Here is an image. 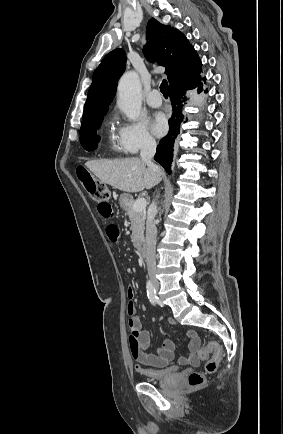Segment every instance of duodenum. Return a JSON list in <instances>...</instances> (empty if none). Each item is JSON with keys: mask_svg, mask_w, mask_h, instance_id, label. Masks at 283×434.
Listing matches in <instances>:
<instances>
[{"mask_svg": "<svg viewBox=\"0 0 283 434\" xmlns=\"http://www.w3.org/2000/svg\"><path fill=\"white\" fill-rule=\"evenodd\" d=\"M137 249L139 251V254L145 258L147 256V245L144 240H141L137 243Z\"/></svg>", "mask_w": 283, "mask_h": 434, "instance_id": "410a0bca", "label": "duodenum"}]
</instances>
